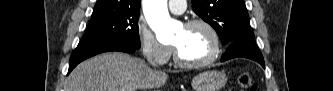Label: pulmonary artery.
Instances as JSON below:
<instances>
[{
    "instance_id": "e3ab8cb5",
    "label": "pulmonary artery",
    "mask_w": 333,
    "mask_h": 91,
    "mask_svg": "<svg viewBox=\"0 0 333 91\" xmlns=\"http://www.w3.org/2000/svg\"><path fill=\"white\" fill-rule=\"evenodd\" d=\"M169 10L174 14H182L186 8L185 1H169Z\"/></svg>"
}]
</instances>
